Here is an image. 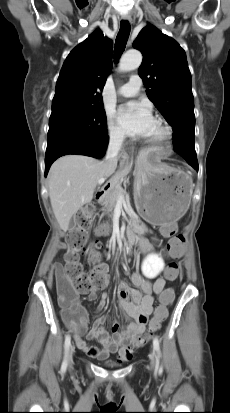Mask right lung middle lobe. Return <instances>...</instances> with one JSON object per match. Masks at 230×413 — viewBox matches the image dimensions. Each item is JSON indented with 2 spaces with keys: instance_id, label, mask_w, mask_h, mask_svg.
Here are the masks:
<instances>
[{
  "instance_id": "right-lung-middle-lobe-1",
  "label": "right lung middle lobe",
  "mask_w": 230,
  "mask_h": 413,
  "mask_svg": "<svg viewBox=\"0 0 230 413\" xmlns=\"http://www.w3.org/2000/svg\"><path fill=\"white\" fill-rule=\"evenodd\" d=\"M106 137L103 107L60 109L52 111L49 119L47 149L64 142H93Z\"/></svg>"
}]
</instances>
